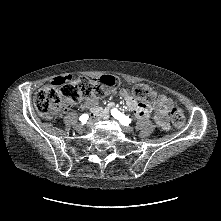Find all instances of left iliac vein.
Wrapping results in <instances>:
<instances>
[{"mask_svg": "<svg viewBox=\"0 0 221 221\" xmlns=\"http://www.w3.org/2000/svg\"><path fill=\"white\" fill-rule=\"evenodd\" d=\"M123 130H124L125 132L130 133V132L133 131V128H132V127H123Z\"/></svg>", "mask_w": 221, "mask_h": 221, "instance_id": "1", "label": "left iliac vein"}]
</instances>
